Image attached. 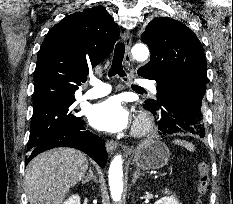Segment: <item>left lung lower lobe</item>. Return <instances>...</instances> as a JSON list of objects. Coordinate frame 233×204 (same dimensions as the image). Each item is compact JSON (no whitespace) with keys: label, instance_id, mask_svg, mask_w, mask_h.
<instances>
[{"label":"left lung lower lobe","instance_id":"left-lung-lower-lobe-1","mask_svg":"<svg viewBox=\"0 0 233 204\" xmlns=\"http://www.w3.org/2000/svg\"><path fill=\"white\" fill-rule=\"evenodd\" d=\"M158 78L156 76L153 80ZM205 91L179 79L166 87L157 88L159 105L144 108L155 116L159 135L189 132L203 138L205 129L201 105Z\"/></svg>","mask_w":233,"mask_h":204}]
</instances>
